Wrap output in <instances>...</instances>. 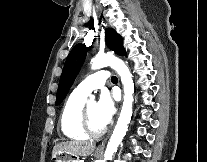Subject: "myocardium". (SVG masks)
I'll return each instance as SVG.
<instances>
[{"label": "myocardium", "mask_w": 207, "mask_h": 162, "mask_svg": "<svg viewBox=\"0 0 207 162\" xmlns=\"http://www.w3.org/2000/svg\"><path fill=\"white\" fill-rule=\"evenodd\" d=\"M80 126L82 131L88 136V137H100L103 135L106 131V127H103L101 129H94L89 118V111H88V104L85 103L82 110H81V116H80Z\"/></svg>", "instance_id": "f54148a6"}]
</instances>
